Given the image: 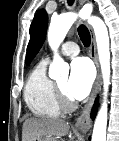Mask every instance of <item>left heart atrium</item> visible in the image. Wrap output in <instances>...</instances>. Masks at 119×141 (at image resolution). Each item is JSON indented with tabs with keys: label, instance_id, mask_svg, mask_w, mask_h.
<instances>
[{
	"label": "left heart atrium",
	"instance_id": "left-heart-atrium-1",
	"mask_svg": "<svg viewBox=\"0 0 119 141\" xmlns=\"http://www.w3.org/2000/svg\"><path fill=\"white\" fill-rule=\"evenodd\" d=\"M94 81V70L86 58H76L70 65V77L66 84L67 96L73 100H82L90 92Z\"/></svg>",
	"mask_w": 119,
	"mask_h": 141
}]
</instances>
